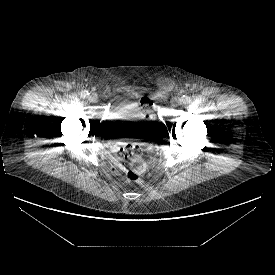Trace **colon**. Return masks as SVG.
<instances>
[{
	"instance_id": "colon-1",
	"label": "colon",
	"mask_w": 275,
	"mask_h": 275,
	"mask_svg": "<svg viewBox=\"0 0 275 275\" xmlns=\"http://www.w3.org/2000/svg\"><path fill=\"white\" fill-rule=\"evenodd\" d=\"M141 105L148 112L154 110L153 103L147 98L141 99ZM125 160L130 162V168L126 173V178L132 182H139L145 170V163L141 149L133 145L122 147L116 158V166L121 167Z\"/></svg>"
}]
</instances>
